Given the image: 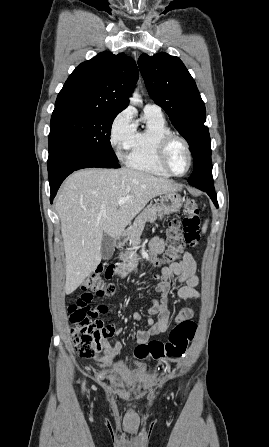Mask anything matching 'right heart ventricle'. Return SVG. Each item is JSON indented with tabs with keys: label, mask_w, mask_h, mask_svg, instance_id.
<instances>
[{
	"label": "right heart ventricle",
	"mask_w": 269,
	"mask_h": 447,
	"mask_svg": "<svg viewBox=\"0 0 269 447\" xmlns=\"http://www.w3.org/2000/svg\"><path fill=\"white\" fill-rule=\"evenodd\" d=\"M144 125L133 134L127 165L155 175L170 176L158 159V145L162 137L173 133L163 115L144 111Z\"/></svg>",
	"instance_id": "1"
}]
</instances>
